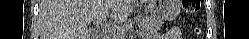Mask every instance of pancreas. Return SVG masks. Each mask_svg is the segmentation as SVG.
Instances as JSON below:
<instances>
[{
    "mask_svg": "<svg viewBox=\"0 0 249 39\" xmlns=\"http://www.w3.org/2000/svg\"><path fill=\"white\" fill-rule=\"evenodd\" d=\"M162 25L163 21L155 17L145 16L144 18L139 20V26L141 28V33L144 39H148L151 36L156 35L157 32L161 29Z\"/></svg>",
    "mask_w": 249,
    "mask_h": 39,
    "instance_id": "pancreas-1",
    "label": "pancreas"
}]
</instances>
